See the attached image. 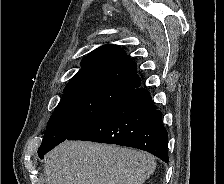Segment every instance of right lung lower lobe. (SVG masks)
Wrapping results in <instances>:
<instances>
[{"label":"right lung lower lobe","instance_id":"1","mask_svg":"<svg viewBox=\"0 0 224 184\" xmlns=\"http://www.w3.org/2000/svg\"><path fill=\"white\" fill-rule=\"evenodd\" d=\"M68 140H86L138 148L164 162H169L168 133L162 123V113L153 104L145 88L132 89L102 116ZM53 148L38 154L39 157L43 159L44 154Z\"/></svg>","mask_w":224,"mask_h":184}]
</instances>
